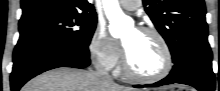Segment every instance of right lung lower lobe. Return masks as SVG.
I'll list each match as a JSON object with an SVG mask.
<instances>
[{
  "label": "right lung lower lobe",
  "instance_id": "obj_1",
  "mask_svg": "<svg viewBox=\"0 0 220 91\" xmlns=\"http://www.w3.org/2000/svg\"><path fill=\"white\" fill-rule=\"evenodd\" d=\"M11 90L18 91L28 80L58 67L85 68L90 64L88 48H73L43 36L20 37L13 54Z\"/></svg>",
  "mask_w": 220,
  "mask_h": 91
}]
</instances>
